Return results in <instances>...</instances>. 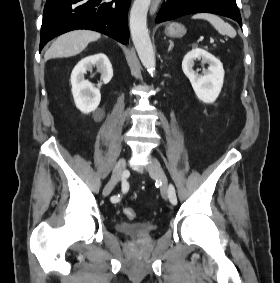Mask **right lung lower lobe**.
Masks as SVG:
<instances>
[{"instance_id":"obj_1","label":"right lung lower lobe","mask_w":280,"mask_h":283,"mask_svg":"<svg viewBox=\"0 0 280 283\" xmlns=\"http://www.w3.org/2000/svg\"><path fill=\"white\" fill-rule=\"evenodd\" d=\"M130 3L131 0H47L39 50L54 37L76 29L98 31L123 44L129 43Z\"/></svg>"}]
</instances>
